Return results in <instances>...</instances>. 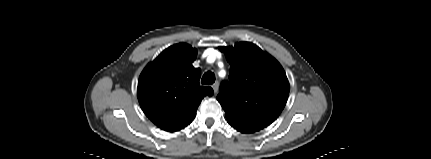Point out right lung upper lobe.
I'll use <instances>...</instances> for the list:
<instances>
[{
    "label": "right lung upper lobe",
    "instance_id": "right-lung-upper-lobe-1",
    "mask_svg": "<svg viewBox=\"0 0 431 159\" xmlns=\"http://www.w3.org/2000/svg\"><path fill=\"white\" fill-rule=\"evenodd\" d=\"M197 51L179 43L165 49L140 74L138 100L143 112L158 127L174 132L189 125L206 95L213 89L200 86L201 70L194 68Z\"/></svg>",
    "mask_w": 431,
    "mask_h": 159
}]
</instances>
